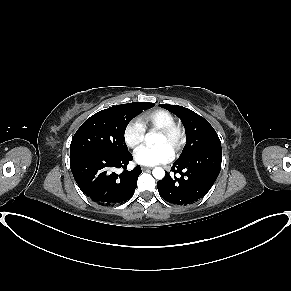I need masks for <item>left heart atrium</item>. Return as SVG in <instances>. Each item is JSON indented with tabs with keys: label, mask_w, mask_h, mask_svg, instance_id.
Returning a JSON list of instances; mask_svg holds the SVG:
<instances>
[{
	"label": "left heart atrium",
	"mask_w": 291,
	"mask_h": 291,
	"mask_svg": "<svg viewBox=\"0 0 291 291\" xmlns=\"http://www.w3.org/2000/svg\"><path fill=\"white\" fill-rule=\"evenodd\" d=\"M172 149L165 145L141 146L134 152V159L137 163L145 166H153L169 162L173 158Z\"/></svg>",
	"instance_id": "1"
}]
</instances>
